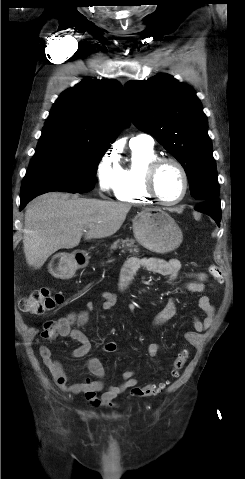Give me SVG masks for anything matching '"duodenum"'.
I'll return each instance as SVG.
<instances>
[{
	"label": "duodenum",
	"mask_w": 245,
	"mask_h": 479,
	"mask_svg": "<svg viewBox=\"0 0 245 479\" xmlns=\"http://www.w3.org/2000/svg\"><path fill=\"white\" fill-rule=\"evenodd\" d=\"M76 261H77L78 265H79L80 267H82V266L85 264V262H86V256H85V254H81L80 257L77 256V257H76Z\"/></svg>",
	"instance_id": "duodenum-1"
}]
</instances>
